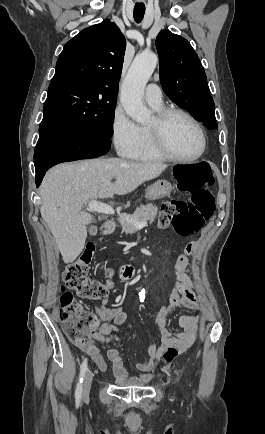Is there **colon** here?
I'll return each instance as SVG.
<instances>
[{
    "mask_svg": "<svg viewBox=\"0 0 265 434\" xmlns=\"http://www.w3.org/2000/svg\"><path fill=\"white\" fill-rule=\"evenodd\" d=\"M173 170L178 173L181 189L189 192L191 199H169L162 205L159 220L162 225L171 226L178 235L188 237L200 232L204 222L213 214L214 195L209 188L214 185L215 179L209 164H174ZM94 254L95 248L89 247L77 260L66 266L62 274L63 288L75 291L82 299L101 302L108 298L112 282L93 280L88 276ZM75 298L71 293L63 295L60 307L66 309L63 312L66 318H61L60 325L71 347H89V334L101 327L103 321L98 314H75L79 311L77 303L72 302ZM178 350L177 346L167 345L165 362L172 364L178 360L182 356Z\"/></svg>",
    "mask_w": 265,
    "mask_h": 434,
    "instance_id": "5ec220e1",
    "label": "colon"
}]
</instances>
